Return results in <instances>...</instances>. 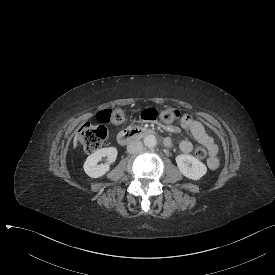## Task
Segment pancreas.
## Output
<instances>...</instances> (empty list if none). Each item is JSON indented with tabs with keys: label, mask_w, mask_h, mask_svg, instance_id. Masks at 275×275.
<instances>
[{
	"label": "pancreas",
	"mask_w": 275,
	"mask_h": 275,
	"mask_svg": "<svg viewBox=\"0 0 275 275\" xmlns=\"http://www.w3.org/2000/svg\"><path fill=\"white\" fill-rule=\"evenodd\" d=\"M136 127H139V125L130 124V125L128 126V128H136Z\"/></svg>",
	"instance_id": "pancreas-1"
}]
</instances>
